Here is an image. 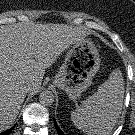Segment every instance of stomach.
<instances>
[{
  "mask_svg": "<svg viewBox=\"0 0 135 135\" xmlns=\"http://www.w3.org/2000/svg\"><path fill=\"white\" fill-rule=\"evenodd\" d=\"M100 63L95 44L89 39H83L67 52L54 83L64 90L70 99H77L91 85Z\"/></svg>",
  "mask_w": 135,
  "mask_h": 135,
  "instance_id": "1",
  "label": "stomach"
}]
</instances>
